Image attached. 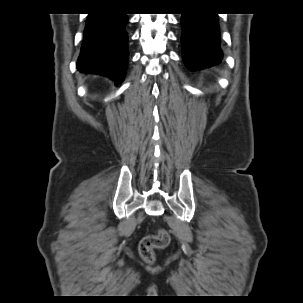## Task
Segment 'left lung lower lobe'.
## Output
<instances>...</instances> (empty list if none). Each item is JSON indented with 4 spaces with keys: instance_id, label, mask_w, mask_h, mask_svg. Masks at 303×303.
I'll use <instances>...</instances> for the list:
<instances>
[{
    "instance_id": "obj_1",
    "label": "left lung lower lobe",
    "mask_w": 303,
    "mask_h": 303,
    "mask_svg": "<svg viewBox=\"0 0 303 303\" xmlns=\"http://www.w3.org/2000/svg\"><path fill=\"white\" fill-rule=\"evenodd\" d=\"M181 24L182 55L189 69L202 70L222 62L217 14H183Z\"/></svg>"
}]
</instances>
